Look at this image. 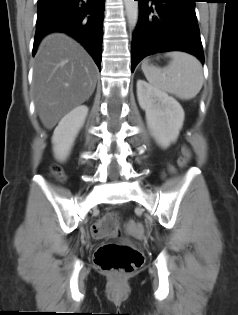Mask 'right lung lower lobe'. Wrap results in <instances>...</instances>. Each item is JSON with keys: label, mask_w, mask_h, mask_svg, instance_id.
I'll use <instances>...</instances> for the list:
<instances>
[{"label": "right lung lower lobe", "mask_w": 238, "mask_h": 315, "mask_svg": "<svg viewBox=\"0 0 238 315\" xmlns=\"http://www.w3.org/2000/svg\"><path fill=\"white\" fill-rule=\"evenodd\" d=\"M105 0H38L33 55L48 33L65 32L80 42L101 69Z\"/></svg>", "instance_id": "98d812e1"}]
</instances>
